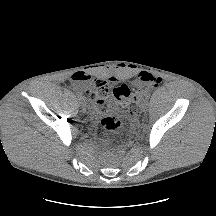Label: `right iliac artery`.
I'll return each mask as SVG.
<instances>
[{
  "label": "right iliac artery",
  "instance_id": "82829eb1",
  "mask_svg": "<svg viewBox=\"0 0 216 216\" xmlns=\"http://www.w3.org/2000/svg\"><path fill=\"white\" fill-rule=\"evenodd\" d=\"M77 99H82V94H77Z\"/></svg>",
  "mask_w": 216,
  "mask_h": 216
}]
</instances>
